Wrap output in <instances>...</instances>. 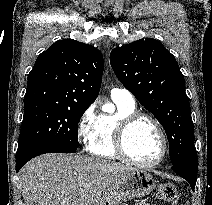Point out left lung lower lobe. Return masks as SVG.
Masks as SVG:
<instances>
[{"instance_id":"1","label":"left lung lower lobe","mask_w":212,"mask_h":205,"mask_svg":"<svg viewBox=\"0 0 212 205\" xmlns=\"http://www.w3.org/2000/svg\"><path fill=\"white\" fill-rule=\"evenodd\" d=\"M197 167L198 161L190 162L179 166H172L171 168L179 176L186 179L190 183L192 190H194L197 180Z\"/></svg>"}]
</instances>
